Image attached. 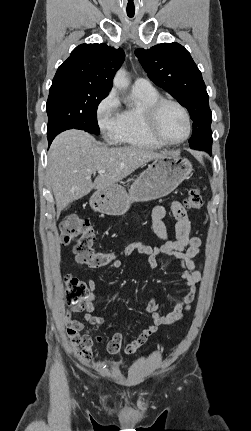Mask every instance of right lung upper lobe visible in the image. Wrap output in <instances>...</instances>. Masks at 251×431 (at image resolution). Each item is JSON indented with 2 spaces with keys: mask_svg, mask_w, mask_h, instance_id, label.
Returning <instances> with one entry per match:
<instances>
[{
  "mask_svg": "<svg viewBox=\"0 0 251 431\" xmlns=\"http://www.w3.org/2000/svg\"><path fill=\"white\" fill-rule=\"evenodd\" d=\"M125 58L121 48L106 44H81L58 67L53 81L72 80L78 83L110 91L115 72Z\"/></svg>",
  "mask_w": 251,
  "mask_h": 431,
  "instance_id": "right-lung-upper-lobe-1",
  "label": "right lung upper lobe"
}]
</instances>
